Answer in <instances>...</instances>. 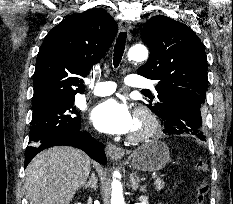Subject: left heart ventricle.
Masks as SVG:
<instances>
[{"label":"left heart ventricle","mask_w":233,"mask_h":204,"mask_svg":"<svg viewBox=\"0 0 233 204\" xmlns=\"http://www.w3.org/2000/svg\"><path fill=\"white\" fill-rule=\"evenodd\" d=\"M140 127H141V124L138 121L134 120V125L131 131L138 130Z\"/></svg>","instance_id":"left-heart-ventricle-1"}]
</instances>
